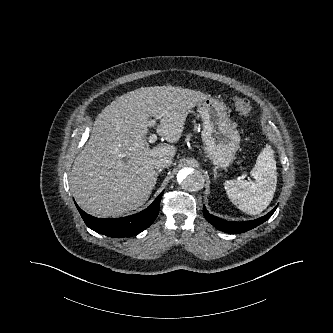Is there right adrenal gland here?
Here are the masks:
<instances>
[{
	"label": "right adrenal gland",
	"instance_id": "1",
	"mask_svg": "<svg viewBox=\"0 0 333 333\" xmlns=\"http://www.w3.org/2000/svg\"><path fill=\"white\" fill-rule=\"evenodd\" d=\"M161 171H162L161 169H159V170L156 171L155 178H154V183H153V187L155 186V184H156V182H157V177H158V175H159V173H160Z\"/></svg>",
	"mask_w": 333,
	"mask_h": 333
}]
</instances>
